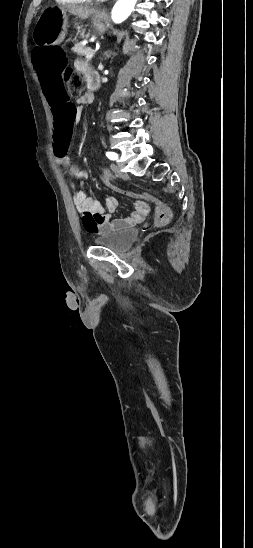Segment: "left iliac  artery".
<instances>
[{"label":"left iliac artery","mask_w":253,"mask_h":548,"mask_svg":"<svg viewBox=\"0 0 253 548\" xmlns=\"http://www.w3.org/2000/svg\"><path fill=\"white\" fill-rule=\"evenodd\" d=\"M106 156L110 159V160H116L118 158V155L114 152H106Z\"/></svg>","instance_id":"left-iliac-artery-1"}]
</instances>
